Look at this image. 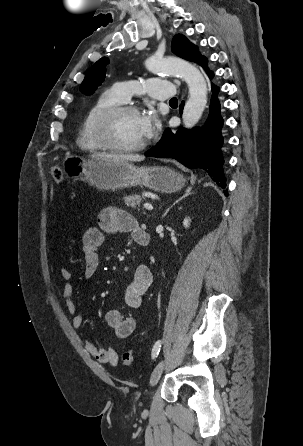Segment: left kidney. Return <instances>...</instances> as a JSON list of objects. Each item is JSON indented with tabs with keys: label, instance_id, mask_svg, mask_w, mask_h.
<instances>
[{
	"label": "left kidney",
	"instance_id": "obj_1",
	"mask_svg": "<svg viewBox=\"0 0 303 446\" xmlns=\"http://www.w3.org/2000/svg\"><path fill=\"white\" fill-rule=\"evenodd\" d=\"M183 225L185 228H188L190 225V218H185L183 221Z\"/></svg>",
	"mask_w": 303,
	"mask_h": 446
}]
</instances>
